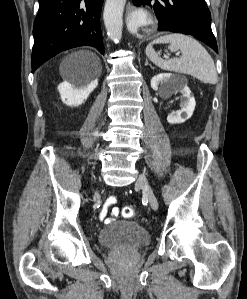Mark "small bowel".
<instances>
[{
    "label": "small bowel",
    "instance_id": "1",
    "mask_svg": "<svg viewBox=\"0 0 247 299\" xmlns=\"http://www.w3.org/2000/svg\"><path fill=\"white\" fill-rule=\"evenodd\" d=\"M117 202V198L115 196H110L104 203L99 218L106 223L112 222L120 213L118 207L114 206Z\"/></svg>",
    "mask_w": 247,
    "mask_h": 299
}]
</instances>
